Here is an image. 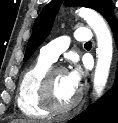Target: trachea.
<instances>
[{"label":"trachea","instance_id":"1","mask_svg":"<svg viewBox=\"0 0 118 123\" xmlns=\"http://www.w3.org/2000/svg\"><path fill=\"white\" fill-rule=\"evenodd\" d=\"M86 45H91L92 44V42L90 41V42H86L85 43Z\"/></svg>","mask_w":118,"mask_h":123}]
</instances>
